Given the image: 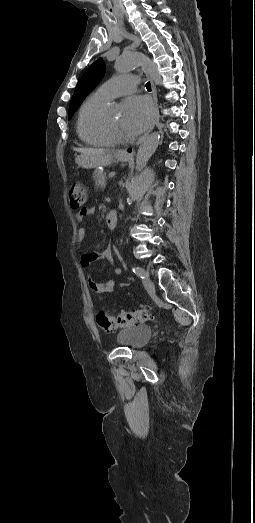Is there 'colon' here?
<instances>
[{
  "instance_id": "colon-1",
  "label": "colon",
  "mask_w": 255,
  "mask_h": 523,
  "mask_svg": "<svg viewBox=\"0 0 255 523\" xmlns=\"http://www.w3.org/2000/svg\"><path fill=\"white\" fill-rule=\"evenodd\" d=\"M70 205L73 209L82 208L86 202V191L83 183L79 180L72 183L69 191ZM152 319L150 308L144 307L134 312H123L111 315L100 311L96 316L97 324L105 331H112L119 327L137 325Z\"/></svg>"
}]
</instances>
